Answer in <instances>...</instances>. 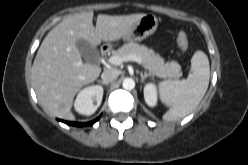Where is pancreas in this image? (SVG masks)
<instances>
[{
  "instance_id": "cf45deb5",
  "label": "pancreas",
  "mask_w": 248,
  "mask_h": 165,
  "mask_svg": "<svg viewBox=\"0 0 248 165\" xmlns=\"http://www.w3.org/2000/svg\"><path fill=\"white\" fill-rule=\"evenodd\" d=\"M113 55L125 57L136 55L149 73L163 79H179L182 76L181 66L176 61L164 62V59L152 49L138 43H127L113 52Z\"/></svg>"
}]
</instances>
